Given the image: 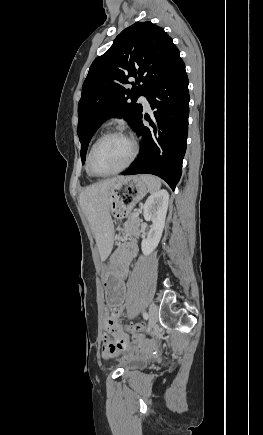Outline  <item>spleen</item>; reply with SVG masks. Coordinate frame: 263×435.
I'll use <instances>...</instances> for the list:
<instances>
[{
    "label": "spleen",
    "instance_id": "1",
    "mask_svg": "<svg viewBox=\"0 0 263 435\" xmlns=\"http://www.w3.org/2000/svg\"><path fill=\"white\" fill-rule=\"evenodd\" d=\"M141 179L147 185L149 192L154 193L161 187V180L152 175H142Z\"/></svg>",
    "mask_w": 263,
    "mask_h": 435
}]
</instances>
